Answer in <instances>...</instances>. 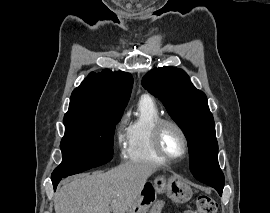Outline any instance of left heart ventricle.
Returning a JSON list of instances; mask_svg holds the SVG:
<instances>
[{
    "mask_svg": "<svg viewBox=\"0 0 270 213\" xmlns=\"http://www.w3.org/2000/svg\"><path fill=\"white\" fill-rule=\"evenodd\" d=\"M162 146L164 151L172 157L180 156L184 150L183 140L179 132L171 126L166 127L163 132Z\"/></svg>",
    "mask_w": 270,
    "mask_h": 213,
    "instance_id": "obj_1",
    "label": "left heart ventricle"
}]
</instances>
